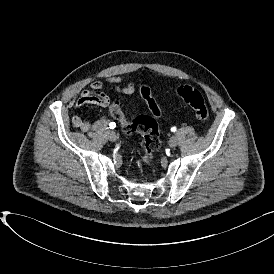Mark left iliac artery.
Returning a JSON list of instances; mask_svg holds the SVG:
<instances>
[{
    "mask_svg": "<svg viewBox=\"0 0 274 274\" xmlns=\"http://www.w3.org/2000/svg\"><path fill=\"white\" fill-rule=\"evenodd\" d=\"M171 131H172V132H175V131H176V127H172V128H171Z\"/></svg>",
    "mask_w": 274,
    "mask_h": 274,
    "instance_id": "1",
    "label": "left iliac artery"
}]
</instances>
